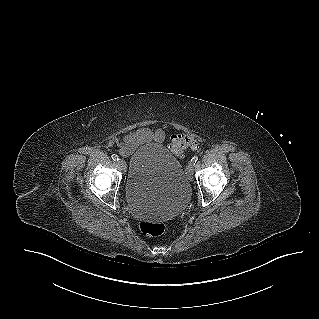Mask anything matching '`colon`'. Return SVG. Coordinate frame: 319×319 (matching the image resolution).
<instances>
[{
	"instance_id": "colon-1",
	"label": "colon",
	"mask_w": 319,
	"mask_h": 319,
	"mask_svg": "<svg viewBox=\"0 0 319 319\" xmlns=\"http://www.w3.org/2000/svg\"><path fill=\"white\" fill-rule=\"evenodd\" d=\"M199 145L198 138L191 136L185 129H180L171 136L168 148L178 157L183 156V152L187 148H195ZM140 230L147 236H159L164 233L165 225L157 221L143 220L139 224Z\"/></svg>"
}]
</instances>
